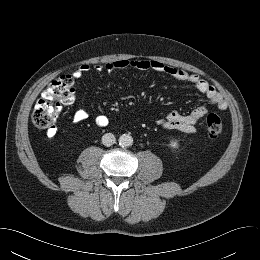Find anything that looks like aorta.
Segmentation results:
<instances>
[{
	"mask_svg": "<svg viewBox=\"0 0 260 260\" xmlns=\"http://www.w3.org/2000/svg\"><path fill=\"white\" fill-rule=\"evenodd\" d=\"M133 144V138L129 134H122L119 137V145L121 147H129Z\"/></svg>",
	"mask_w": 260,
	"mask_h": 260,
	"instance_id": "1",
	"label": "aorta"
}]
</instances>
